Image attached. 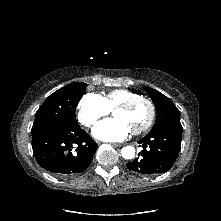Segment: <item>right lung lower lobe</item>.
Segmentation results:
<instances>
[{"label":"right lung lower lobe","mask_w":221,"mask_h":221,"mask_svg":"<svg viewBox=\"0 0 221 221\" xmlns=\"http://www.w3.org/2000/svg\"><path fill=\"white\" fill-rule=\"evenodd\" d=\"M97 146L79 125L69 123H53L32 134V148L38 164L58 176L85 171Z\"/></svg>","instance_id":"obj_1"}]
</instances>
